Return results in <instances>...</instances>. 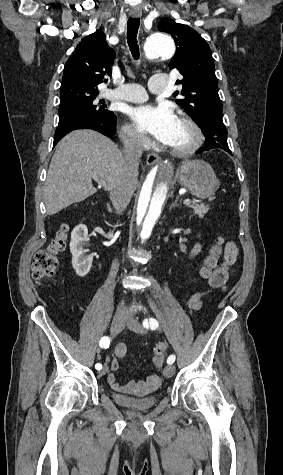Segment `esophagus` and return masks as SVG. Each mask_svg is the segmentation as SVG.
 Wrapping results in <instances>:
<instances>
[{"instance_id":"34e87169","label":"esophagus","mask_w":283,"mask_h":475,"mask_svg":"<svg viewBox=\"0 0 283 475\" xmlns=\"http://www.w3.org/2000/svg\"><path fill=\"white\" fill-rule=\"evenodd\" d=\"M131 17L139 18L142 15L141 10H134L130 13ZM160 162V157L157 153H149L147 155L146 163L147 165H154Z\"/></svg>"}]
</instances>
